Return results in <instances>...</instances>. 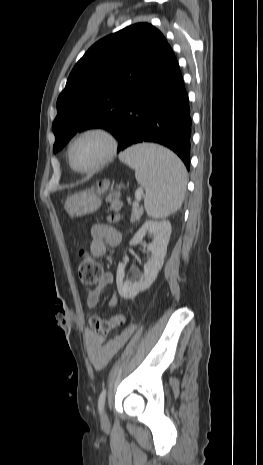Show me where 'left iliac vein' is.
I'll use <instances>...</instances> for the list:
<instances>
[{"mask_svg": "<svg viewBox=\"0 0 263 465\" xmlns=\"http://www.w3.org/2000/svg\"><path fill=\"white\" fill-rule=\"evenodd\" d=\"M101 421H102L103 423H106V422L108 421L107 414H106V411H105V410L102 411V414H101Z\"/></svg>", "mask_w": 263, "mask_h": 465, "instance_id": "obj_1", "label": "left iliac vein"}]
</instances>
